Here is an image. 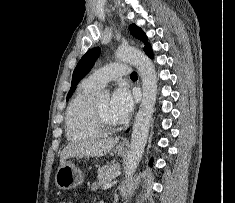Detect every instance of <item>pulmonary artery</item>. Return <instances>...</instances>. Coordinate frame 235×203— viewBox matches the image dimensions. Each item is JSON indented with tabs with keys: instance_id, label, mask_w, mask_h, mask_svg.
Instances as JSON below:
<instances>
[{
	"instance_id": "e3ab8cb5",
	"label": "pulmonary artery",
	"mask_w": 235,
	"mask_h": 203,
	"mask_svg": "<svg viewBox=\"0 0 235 203\" xmlns=\"http://www.w3.org/2000/svg\"><path fill=\"white\" fill-rule=\"evenodd\" d=\"M130 73V68L125 63L108 64L86 78V82L96 88L104 87L109 81L115 80Z\"/></svg>"
}]
</instances>
